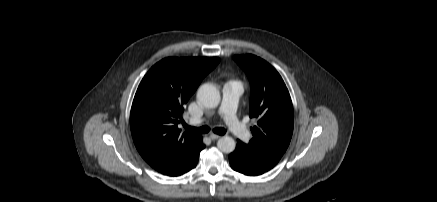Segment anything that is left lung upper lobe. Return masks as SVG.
I'll return each instance as SVG.
<instances>
[{
	"label": "left lung upper lobe",
	"instance_id": "obj_1",
	"mask_svg": "<svg viewBox=\"0 0 437 202\" xmlns=\"http://www.w3.org/2000/svg\"><path fill=\"white\" fill-rule=\"evenodd\" d=\"M233 59L247 74L251 84L249 116L258 119L251 128L253 138L248 149L275 166L293 133V106L280 74L265 60L254 55H236Z\"/></svg>",
	"mask_w": 437,
	"mask_h": 202
}]
</instances>
